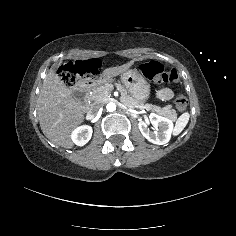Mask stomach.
I'll use <instances>...</instances> for the list:
<instances>
[{"mask_svg": "<svg viewBox=\"0 0 236 236\" xmlns=\"http://www.w3.org/2000/svg\"><path fill=\"white\" fill-rule=\"evenodd\" d=\"M121 78L132 98L140 102V104L148 100L150 96V83L137 70H127L122 74ZM109 80L110 78H104V81Z\"/></svg>", "mask_w": 236, "mask_h": 236, "instance_id": "1", "label": "stomach"}]
</instances>
